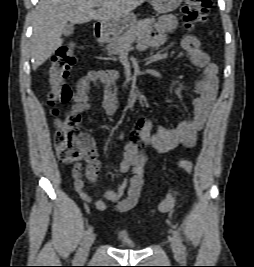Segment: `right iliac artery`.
<instances>
[{"label": "right iliac artery", "mask_w": 254, "mask_h": 267, "mask_svg": "<svg viewBox=\"0 0 254 267\" xmlns=\"http://www.w3.org/2000/svg\"><path fill=\"white\" fill-rule=\"evenodd\" d=\"M92 232V227L89 226L88 229L83 233V241L81 243V246L84 244V242L86 241V239L88 238V236L91 234ZM81 251H82V247H79L76 255H75V258H74V262L75 263H78L79 260H80V255H81Z\"/></svg>", "instance_id": "obj_1"}]
</instances>
